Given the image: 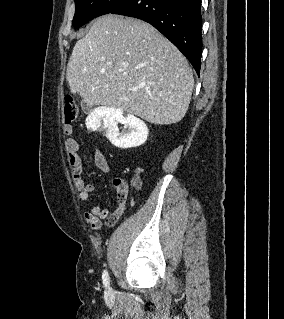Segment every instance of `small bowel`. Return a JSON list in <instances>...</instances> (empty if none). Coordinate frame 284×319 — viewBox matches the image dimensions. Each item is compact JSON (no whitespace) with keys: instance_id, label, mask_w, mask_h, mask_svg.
<instances>
[{"instance_id":"1","label":"small bowel","mask_w":284,"mask_h":319,"mask_svg":"<svg viewBox=\"0 0 284 319\" xmlns=\"http://www.w3.org/2000/svg\"><path fill=\"white\" fill-rule=\"evenodd\" d=\"M63 130L66 135H71L73 133L71 125H66ZM65 151L68 163L72 169V178L74 186L78 191V197L81 201H89L92 193L96 189V184L92 181L87 182L82 176L83 164L79 155L78 142L74 138H67L65 140ZM94 163L103 173L110 172L108 160L100 149H95ZM116 200L117 206L113 211L102 208L99 205H94L91 210L84 213V219L91 226L92 230L99 231L103 221L106 226L111 227L120 219L124 213L127 202V189L125 186L118 185Z\"/></svg>"}]
</instances>
